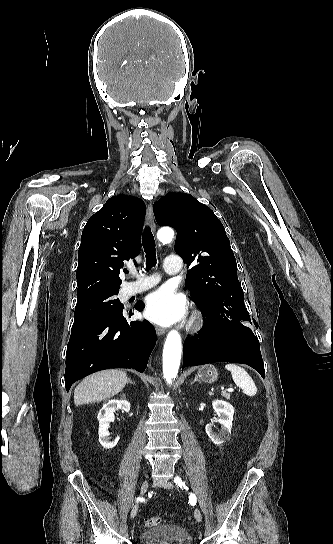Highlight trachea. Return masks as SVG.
I'll list each match as a JSON object with an SVG mask.
<instances>
[{
  "label": "trachea",
  "instance_id": "3493384b",
  "mask_svg": "<svg viewBox=\"0 0 333 544\" xmlns=\"http://www.w3.org/2000/svg\"><path fill=\"white\" fill-rule=\"evenodd\" d=\"M142 245L146 256V268L154 266L156 263L155 241L151 229L147 227L142 238ZM128 273V271H126Z\"/></svg>",
  "mask_w": 333,
  "mask_h": 544
}]
</instances>
